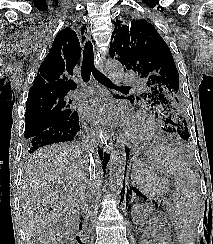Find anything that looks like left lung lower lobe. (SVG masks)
I'll return each mask as SVG.
<instances>
[{
  "instance_id": "1",
  "label": "left lung lower lobe",
  "mask_w": 213,
  "mask_h": 244,
  "mask_svg": "<svg viewBox=\"0 0 213 244\" xmlns=\"http://www.w3.org/2000/svg\"><path fill=\"white\" fill-rule=\"evenodd\" d=\"M132 102H133V101H132ZM163 129H164V131L167 130V129L165 128V126L163 127ZM129 153H130V150H127V149H126V158L129 157ZM124 179H125V176H124ZM124 182H125V180H124ZM123 189H124V185H123Z\"/></svg>"
}]
</instances>
